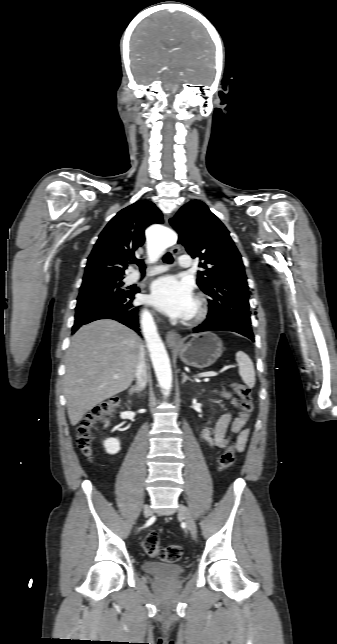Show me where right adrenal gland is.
Wrapping results in <instances>:
<instances>
[{
  "instance_id": "2a0ac1e0",
  "label": "right adrenal gland",
  "mask_w": 337,
  "mask_h": 644,
  "mask_svg": "<svg viewBox=\"0 0 337 644\" xmlns=\"http://www.w3.org/2000/svg\"><path fill=\"white\" fill-rule=\"evenodd\" d=\"M142 388L139 385L131 386L130 393H140Z\"/></svg>"
}]
</instances>
